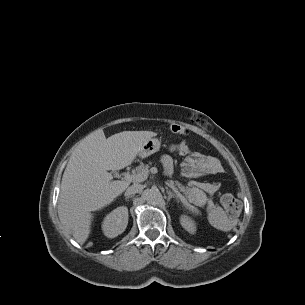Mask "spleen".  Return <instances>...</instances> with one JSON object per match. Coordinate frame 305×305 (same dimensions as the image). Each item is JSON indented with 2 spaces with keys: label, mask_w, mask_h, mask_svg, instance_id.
Returning <instances> with one entry per match:
<instances>
[{
  "label": "spleen",
  "mask_w": 305,
  "mask_h": 305,
  "mask_svg": "<svg viewBox=\"0 0 305 305\" xmlns=\"http://www.w3.org/2000/svg\"><path fill=\"white\" fill-rule=\"evenodd\" d=\"M188 209L191 213L197 215V212L196 210L194 209V207L192 206H188ZM213 219H215V224L217 225V227L219 229H222V230H226V224L224 223L225 221V217H224V212L220 209V208H217L213 211Z\"/></svg>",
  "instance_id": "obj_1"
}]
</instances>
